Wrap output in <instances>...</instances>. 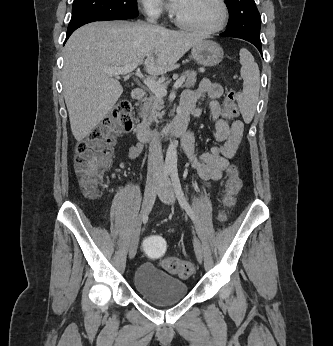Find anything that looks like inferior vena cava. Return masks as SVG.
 <instances>
[{"instance_id": "602c4592", "label": "inferior vena cava", "mask_w": 333, "mask_h": 346, "mask_svg": "<svg viewBox=\"0 0 333 346\" xmlns=\"http://www.w3.org/2000/svg\"><path fill=\"white\" fill-rule=\"evenodd\" d=\"M150 23H156L155 17L147 19ZM163 154L159 134L154 131L151 136L148 154V179L159 177L163 172Z\"/></svg>"}]
</instances>
